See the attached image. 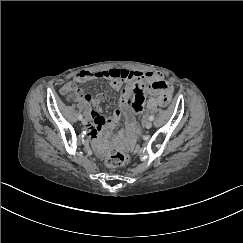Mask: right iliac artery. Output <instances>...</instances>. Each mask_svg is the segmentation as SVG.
Listing matches in <instances>:
<instances>
[{
    "label": "right iliac artery",
    "instance_id": "1",
    "mask_svg": "<svg viewBox=\"0 0 243 243\" xmlns=\"http://www.w3.org/2000/svg\"><path fill=\"white\" fill-rule=\"evenodd\" d=\"M82 118H83V116L80 114V115L78 116V119H79V120H82Z\"/></svg>",
    "mask_w": 243,
    "mask_h": 243
}]
</instances>
